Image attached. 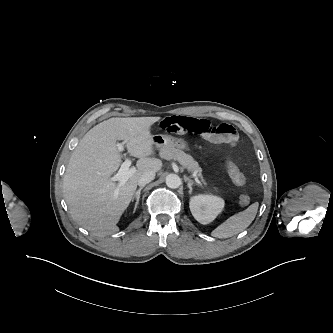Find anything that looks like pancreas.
Returning <instances> with one entry per match:
<instances>
[{
    "label": "pancreas",
    "mask_w": 333,
    "mask_h": 333,
    "mask_svg": "<svg viewBox=\"0 0 333 333\" xmlns=\"http://www.w3.org/2000/svg\"><path fill=\"white\" fill-rule=\"evenodd\" d=\"M160 157L166 160H177L189 172L195 173L196 176L202 178V169L192 156L184 153L182 150L173 146H169L160 150ZM203 181V180H202Z\"/></svg>",
    "instance_id": "1"
}]
</instances>
